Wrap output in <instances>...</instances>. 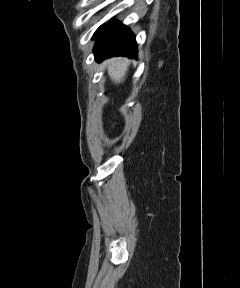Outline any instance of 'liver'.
I'll list each match as a JSON object with an SVG mask.
<instances>
[{
    "mask_svg": "<svg viewBox=\"0 0 240 288\" xmlns=\"http://www.w3.org/2000/svg\"><path fill=\"white\" fill-rule=\"evenodd\" d=\"M108 74L113 82L121 83L124 81L130 61L126 58H112L105 62Z\"/></svg>",
    "mask_w": 240,
    "mask_h": 288,
    "instance_id": "6515ba94",
    "label": "liver"
}]
</instances>
